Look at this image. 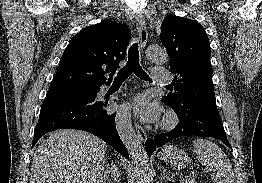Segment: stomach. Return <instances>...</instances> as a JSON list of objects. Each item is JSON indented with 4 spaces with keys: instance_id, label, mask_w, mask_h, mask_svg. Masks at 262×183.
I'll return each instance as SVG.
<instances>
[{
    "instance_id": "obj_1",
    "label": "stomach",
    "mask_w": 262,
    "mask_h": 183,
    "mask_svg": "<svg viewBox=\"0 0 262 183\" xmlns=\"http://www.w3.org/2000/svg\"><path fill=\"white\" fill-rule=\"evenodd\" d=\"M158 157L160 160L170 163L174 169L185 168L190 162L184 150L172 145L164 146L160 150Z\"/></svg>"
}]
</instances>
